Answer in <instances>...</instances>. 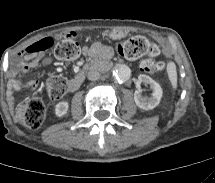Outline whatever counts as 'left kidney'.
<instances>
[{
    "mask_svg": "<svg viewBox=\"0 0 215 183\" xmlns=\"http://www.w3.org/2000/svg\"><path fill=\"white\" fill-rule=\"evenodd\" d=\"M138 79L140 83L149 84L151 86L152 97L149 99L143 98L140 91L136 90L134 93V101L139 108L151 110L160 103L163 94L162 88L159 83L147 75L141 74Z\"/></svg>",
    "mask_w": 215,
    "mask_h": 183,
    "instance_id": "5707ae66",
    "label": "left kidney"
}]
</instances>
